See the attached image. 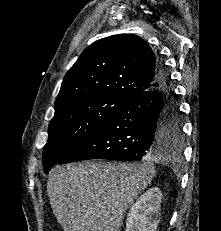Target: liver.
I'll return each mask as SVG.
<instances>
[{
  "label": "liver",
  "instance_id": "obj_1",
  "mask_svg": "<svg viewBox=\"0 0 221 231\" xmlns=\"http://www.w3.org/2000/svg\"><path fill=\"white\" fill-rule=\"evenodd\" d=\"M161 159L167 154L148 158ZM154 175L150 161L73 163L51 169L47 193L64 231H120L127 209Z\"/></svg>",
  "mask_w": 221,
  "mask_h": 231
}]
</instances>
